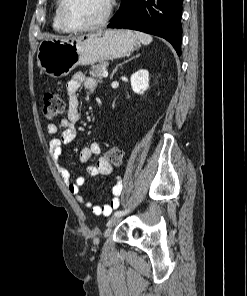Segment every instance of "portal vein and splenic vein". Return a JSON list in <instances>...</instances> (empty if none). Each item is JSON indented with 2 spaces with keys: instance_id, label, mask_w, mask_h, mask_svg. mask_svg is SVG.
I'll use <instances>...</instances> for the list:
<instances>
[{
  "instance_id": "obj_1",
  "label": "portal vein and splenic vein",
  "mask_w": 247,
  "mask_h": 296,
  "mask_svg": "<svg viewBox=\"0 0 247 296\" xmlns=\"http://www.w3.org/2000/svg\"><path fill=\"white\" fill-rule=\"evenodd\" d=\"M102 76L104 78L108 77V71L107 70H104L103 73H102Z\"/></svg>"
}]
</instances>
